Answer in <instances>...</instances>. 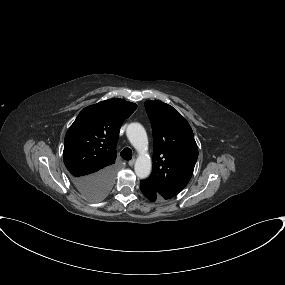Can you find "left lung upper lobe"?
Listing matches in <instances>:
<instances>
[{
    "label": "left lung upper lobe",
    "instance_id": "left-lung-upper-lobe-1",
    "mask_svg": "<svg viewBox=\"0 0 285 285\" xmlns=\"http://www.w3.org/2000/svg\"><path fill=\"white\" fill-rule=\"evenodd\" d=\"M152 124L153 171L147 181L164 199L178 194L189 182L198 148L188 122L161 101L144 103Z\"/></svg>",
    "mask_w": 285,
    "mask_h": 285
}]
</instances>
